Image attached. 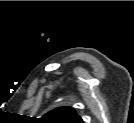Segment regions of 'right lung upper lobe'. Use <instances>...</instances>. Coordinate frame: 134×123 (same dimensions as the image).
<instances>
[{
  "label": "right lung upper lobe",
  "mask_w": 134,
  "mask_h": 123,
  "mask_svg": "<svg viewBox=\"0 0 134 123\" xmlns=\"http://www.w3.org/2000/svg\"><path fill=\"white\" fill-rule=\"evenodd\" d=\"M45 123H83L81 117L70 107H59L48 113L42 118Z\"/></svg>",
  "instance_id": "obj_1"
}]
</instances>
